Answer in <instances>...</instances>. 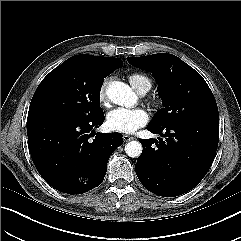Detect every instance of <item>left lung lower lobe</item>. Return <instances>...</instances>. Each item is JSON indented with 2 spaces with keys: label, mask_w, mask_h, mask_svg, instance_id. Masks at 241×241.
<instances>
[{
  "label": "left lung lower lobe",
  "mask_w": 241,
  "mask_h": 241,
  "mask_svg": "<svg viewBox=\"0 0 241 241\" xmlns=\"http://www.w3.org/2000/svg\"><path fill=\"white\" fill-rule=\"evenodd\" d=\"M147 130L163 139L140 141L143 151L135 171L143 186L163 197L179 196L197 186L214 160L219 124L189 121L160 128L149 125Z\"/></svg>",
  "instance_id": "0a47b994"
}]
</instances>
